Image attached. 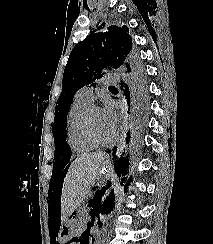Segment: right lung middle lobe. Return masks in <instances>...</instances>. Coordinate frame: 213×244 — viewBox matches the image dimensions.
I'll return each mask as SVG.
<instances>
[{
	"label": "right lung middle lobe",
	"mask_w": 213,
	"mask_h": 244,
	"mask_svg": "<svg viewBox=\"0 0 213 244\" xmlns=\"http://www.w3.org/2000/svg\"><path fill=\"white\" fill-rule=\"evenodd\" d=\"M56 167L57 166H56V162H55L54 165H53V171L55 170Z\"/></svg>",
	"instance_id": "dd1d6c3e"
}]
</instances>
